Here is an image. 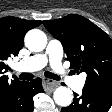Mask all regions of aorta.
Listing matches in <instances>:
<instances>
[{"label":"aorta","instance_id":"aorta-1","mask_svg":"<svg viewBox=\"0 0 112 112\" xmlns=\"http://www.w3.org/2000/svg\"><path fill=\"white\" fill-rule=\"evenodd\" d=\"M25 45L31 51H43L47 45V37L41 30L32 29L25 36ZM53 98L57 105L67 107L73 100L72 91L65 86H59L55 89Z\"/></svg>","mask_w":112,"mask_h":112}]
</instances>
